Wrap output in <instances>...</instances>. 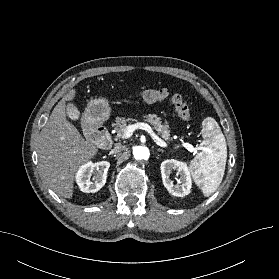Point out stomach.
<instances>
[{"mask_svg": "<svg viewBox=\"0 0 279 279\" xmlns=\"http://www.w3.org/2000/svg\"><path fill=\"white\" fill-rule=\"evenodd\" d=\"M110 116V106L106 98H96L88 103L84 112V122L96 126L106 121Z\"/></svg>", "mask_w": 279, "mask_h": 279, "instance_id": "stomach-1", "label": "stomach"}]
</instances>
